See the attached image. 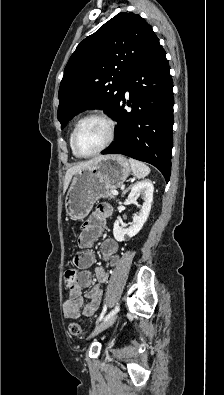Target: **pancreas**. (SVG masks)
<instances>
[{
  "mask_svg": "<svg viewBox=\"0 0 224 395\" xmlns=\"http://www.w3.org/2000/svg\"><path fill=\"white\" fill-rule=\"evenodd\" d=\"M105 197H106L107 199H109V200L113 199V198H114V195L112 194V190L109 191V192H107V193L105 194Z\"/></svg>",
  "mask_w": 224,
  "mask_h": 395,
  "instance_id": "cf45deb5",
  "label": "pancreas"
}]
</instances>
